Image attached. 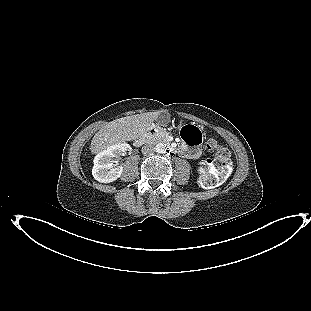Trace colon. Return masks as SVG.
Listing matches in <instances>:
<instances>
[{"label": "colon", "instance_id": "5ec220e1", "mask_svg": "<svg viewBox=\"0 0 311 311\" xmlns=\"http://www.w3.org/2000/svg\"><path fill=\"white\" fill-rule=\"evenodd\" d=\"M181 131L183 138L188 140L191 144H199L201 139L200 132H197L189 125L183 126ZM206 150L213 153V158L208 166V174L200 177V184L219 185L224 183L232 172L230 151L228 148L224 147L213 139L207 142Z\"/></svg>", "mask_w": 311, "mask_h": 311}]
</instances>
